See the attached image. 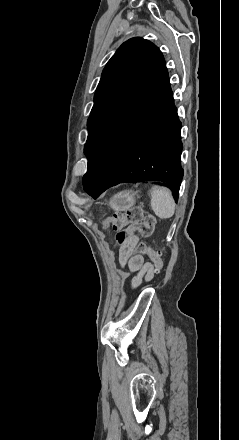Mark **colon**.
Here are the masks:
<instances>
[{"label":"colon","instance_id":"obj_1","mask_svg":"<svg viewBox=\"0 0 239 440\" xmlns=\"http://www.w3.org/2000/svg\"><path fill=\"white\" fill-rule=\"evenodd\" d=\"M105 225H111L117 232L116 241L120 244L125 243L136 233L147 238L151 236L154 230L155 219L152 215L146 213L141 207L133 206L125 213L114 214L105 220ZM134 253L136 255H148L155 269L159 271L162 268L161 253L153 250L146 243H139Z\"/></svg>","mask_w":239,"mask_h":440}]
</instances>
